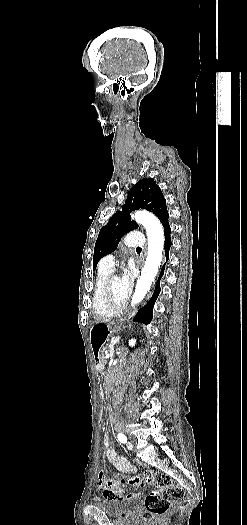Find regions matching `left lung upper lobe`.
Returning a JSON list of instances; mask_svg holds the SVG:
<instances>
[{
  "instance_id": "1",
  "label": "left lung upper lobe",
  "mask_w": 247,
  "mask_h": 525,
  "mask_svg": "<svg viewBox=\"0 0 247 525\" xmlns=\"http://www.w3.org/2000/svg\"><path fill=\"white\" fill-rule=\"evenodd\" d=\"M136 209L151 211L161 222L168 216L166 200L153 179L144 178L138 181L129 191L122 209L101 228L95 243L93 269L96 268L101 257L116 250L123 235L138 227L135 221H131L130 216V213Z\"/></svg>"
}]
</instances>
